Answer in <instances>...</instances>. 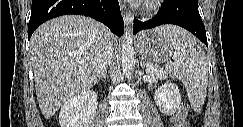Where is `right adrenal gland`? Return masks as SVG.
Here are the masks:
<instances>
[{"mask_svg": "<svg viewBox=\"0 0 243 127\" xmlns=\"http://www.w3.org/2000/svg\"><path fill=\"white\" fill-rule=\"evenodd\" d=\"M107 75V69L102 70L101 74L98 76V80L100 81L101 79H106Z\"/></svg>", "mask_w": 243, "mask_h": 127, "instance_id": "right-adrenal-gland-1", "label": "right adrenal gland"}]
</instances>
